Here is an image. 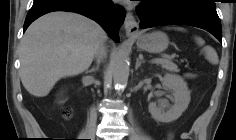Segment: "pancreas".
Returning a JSON list of instances; mask_svg holds the SVG:
<instances>
[{
  "label": "pancreas",
  "instance_id": "obj_1",
  "mask_svg": "<svg viewBox=\"0 0 236 140\" xmlns=\"http://www.w3.org/2000/svg\"><path fill=\"white\" fill-rule=\"evenodd\" d=\"M159 64L168 71L179 72L178 66L171 61H163V62H159Z\"/></svg>",
  "mask_w": 236,
  "mask_h": 140
}]
</instances>
